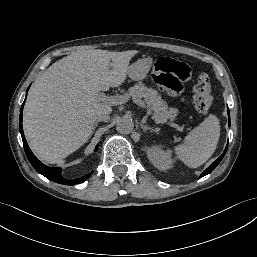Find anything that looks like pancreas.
I'll use <instances>...</instances> for the list:
<instances>
[{
	"label": "pancreas",
	"instance_id": "pancreas-1",
	"mask_svg": "<svg viewBox=\"0 0 257 257\" xmlns=\"http://www.w3.org/2000/svg\"><path fill=\"white\" fill-rule=\"evenodd\" d=\"M125 96L133 100L144 98V103L158 122L164 123L167 120L173 121L178 114L177 109L168 108L167 103L162 100L158 91L148 88L142 83L135 84L133 87L129 88Z\"/></svg>",
	"mask_w": 257,
	"mask_h": 257
}]
</instances>
